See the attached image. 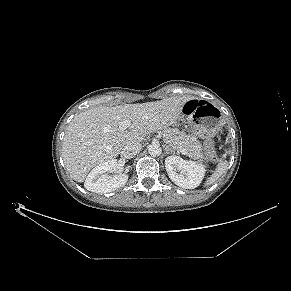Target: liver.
Returning a JSON list of instances; mask_svg holds the SVG:
<instances>
[{"instance_id": "liver-1", "label": "liver", "mask_w": 291, "mask_h": 291, "mask_svg": "<svg viewBox=\"0 0 291 291\" xmlns=\"http://www.w3.org/2000/svg\"><path fill=\"white\" fill-rule=\"evenodd\" d=\"M192 96L160 101L93 107L70 122L62 145V157L71 178L83 182L95 166L116 158L129 143H140L147 134L173 125ZM129 120V130L120 125Z\"/></svg>"}]
</instances>
